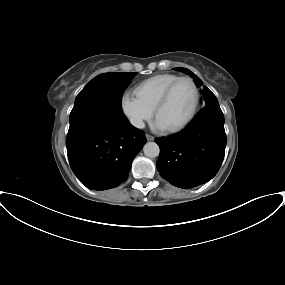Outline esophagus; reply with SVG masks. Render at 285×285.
Returning a JSON list of instances; mask_svg holds the SVG:
<instances>
[{"instance_id": "esophagus-1", "label": "esophagus", "mask_w": 285, "mask_h": 285, "mask_svg": "<svg viewBox=\"0 0 285 285\" xmlns=\"http://www.w3.org/2000/svg\"><path fill=\"white\" fill-rule=\"evenodd\" d=\"M146 139L148 141H153L154 140V137L152 135H149V134H146Z\"/></svg>"}]
</instances>
